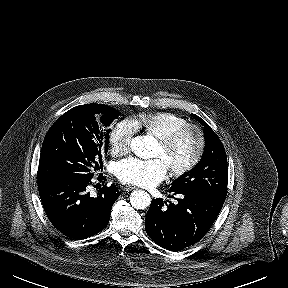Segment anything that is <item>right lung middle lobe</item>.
<instances>
[{
  "label": "right lung middle lobe",
  "mask_w": 288,
  "mask_h": 288,
  "mask_svg": "<svg viewBox=\"0 0 288 288\" xmlns=\"http://www.w3.org/2000/svg\"><path fill=\"white\" fill-rule=\"evenodd\" d=\"M120 113L104 104L76 106L51 126L43 141L38 181L73 179L91 181L103 167L108 152L110 123Z\"/></svg>",
  "instance_id": "dd1d6c3e"
}]
</instances>
